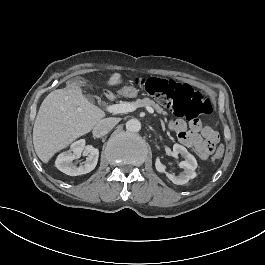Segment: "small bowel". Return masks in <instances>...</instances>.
<instances>
[{
	"mask_svg": "<svg viewBox=\"0 0 265 265\" xmlns=\"http://www.w3.org/2000/svg\"><path fill=\"white\" fill-rule=\"evenodd\" d=\"M169 129L175 132L179 142L191 149L201 161L210 158L220 139L215 129L203 126L199 121L187 123L181 118L172 119Z\"/></svg>",
	"mask_w": 265,
	"mask_h": 265,
	"instance_id": "small-bowel-1",
	"label": "small bowel"
}]
</instances>
